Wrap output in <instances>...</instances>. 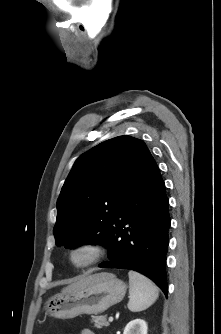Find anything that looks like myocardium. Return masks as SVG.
<instances>
[{"label": "myocardium", "mask_w": 221, "mask_h": 334, "mask_svg": "<svg viewBox=\"0 0 221 334\" xmlns=\"http://www.w3.org/2000/svg\"><path fill=\"white\" fill-rule=\"evenodd\" d=\"M103 245L97 241L86 240L73 245L67 256L68 264L75 269H83L97 263L104 255ZM78 256L82 258L78 259Z\"/></svg>", "instance_id": "myocardium-1"}]
</instances>
